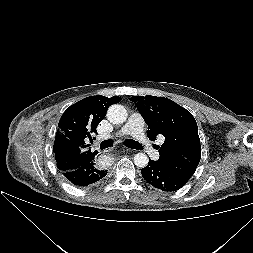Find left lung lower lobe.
Instances as JSON below:
<instances>
[{
	"label": "left lung lower lobe",
	"mask_w": 253,
	"mask_h": 253,
	"mask_svg": "<svg viewBox=\"0 0 253 253\" xmlns=\"http://www.w3.org/2000/svg\"><path fill=\"white\" fill-rule=\"evenodd\" d=\"M141 174L149 184L163 191H175L187 183L153 160H149L148 165L141 170Z\"/></svg>",
	"instance_id": "0a47b994"
}]
</instances>
